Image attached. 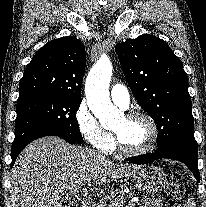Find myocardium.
<instances>
[{
	"label": "myocardium",
	"instance_id": "f54148a6",
	"mask_svg": "<svg viewBox=\"0 0 206 207\" xmlns=\"http://www.w3.org/2000/svg\"><path fill=\"white\" fill-rule=\"evenodd\" d=\"M125 118L128 120H134V119L145 120L150 127L151 137H150V140L146 146H144L143 148H140V149L132 150V149L126 148L123 145V143L121 142L118 135L114 132L115 141H116V144H117L120 152L126 156H129V157L142 156V155H146L149 152H151L154 149V147L156 146L158 139H159V128H158V125H157L156 121L154 120V118L151 115H149L148 113L143 112V111H138V110L132 111V112L126 114Z\"/></svg>",
	"mask_w": 206,
	"mask_h": 207
}]
</instances>
